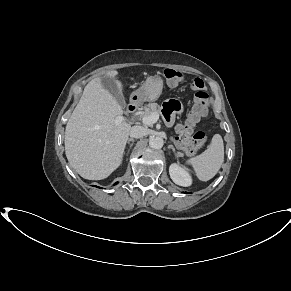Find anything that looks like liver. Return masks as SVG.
Returning a JSON list of instances; mask_svg holds the SVG:
<instances>
[{
  "mask_svg": "<svg viewBox=\"0 0 291 291\" xmlns=\"http://www.w3.org/2000/svg\"><path fill=\"white\" fill-rule=\"evenodd\" d=\"M117 75L118 71L113 70L103 76L115 79ZM103 76L86 85L65 129L66 157L71 167L88 180L105 179L120 166L131 130L125 120L115 124L123 110L102 86ZM116 82L122 94V84Z\"/></svg>",
  "mask_w": 291,
  "mask_h": 291,
  "instance_id": "obj_1",
  "label": "liver"
}]
</instances>
